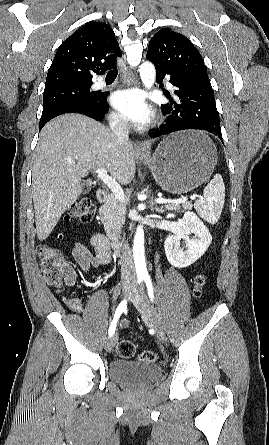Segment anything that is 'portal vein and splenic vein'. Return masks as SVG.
<instances>
[{
    "mask_svg": "<svg viewBox=\"0 0 269 445\" xmlns=\"http://www.w3.org/2000/svg\"><path fill=\"white\" fill-rule=\"evenodd\" d=\"M97 176L99 179L103 181V183L111 190L112 194L120 201L125 202V194L121 188V186L115 181L114 178L108 175L107 170L104 168L98 169L96 171ZM198 196L192 195L190 196V199H196ZM188 200L187 196H182L179 199L169 200L164 198H157L155 199V202L158 204H166V203H174V204H181L185 203Z\"/></svg>",
    "mask_w": 269,
    "mask_h": 445,
    "instance_id": "portal-vein-and-splenic-vein-1",
    "label": "portal vein and splenic vein"
}]
</instances>
